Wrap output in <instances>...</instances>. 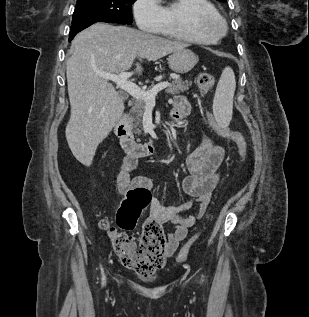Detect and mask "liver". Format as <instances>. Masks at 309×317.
Segmentation results:
<instances>
[{"label":"liver","mask_w":309,"mask_h":317,"mask_svg":"<svg viewBox=\"0 0 309 317\" xmlns=\"http://www.w3.org/2000/svg\"><path fill=\"white\" fill-rule=\"evenodd\" d=\"M187 46L106 23H95L75 37L73 53L66 63L71 116L65 133L69 148L80 163L91 165L98 145L125 109L112 84L96 72L119 74L129 70L137 57L156 61ZM141 72L142 67L137 63L136 73Z\"/></svg>","instance_id":"6515ba94"}]
</instances>
